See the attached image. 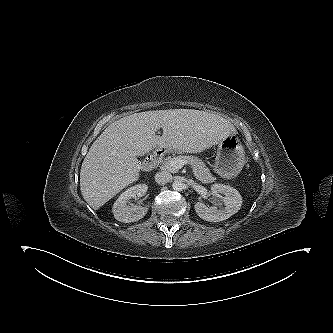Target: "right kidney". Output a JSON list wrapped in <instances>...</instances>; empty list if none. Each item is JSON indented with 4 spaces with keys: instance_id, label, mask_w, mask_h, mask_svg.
Listing matches in <instances>:
<instances>
[{
    "instance_id": "1",
    "label": "right kidney",
    "mask_w": 333,
    "mask_h": 333,
    "mask_svg": "<svg viewBox=\"0 0 333 333\" xmlns=\"http://www.w3.org/2000/svg\"><path fill=\"white\" fill-rule=\"evenodd\" d=\"M148 187L145 184L135 185L123 192L115 201L112 212L116 220L124 223L135 222L142 219L147 211V207L129 206L127 203L130 199L144 195Z\"/></svg>"
}]
</instances>
